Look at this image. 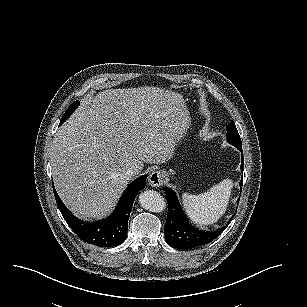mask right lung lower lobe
I'll list each match as a JSON object with an SVG mask.
<instances>
[{
    "instance_id": "1",
    "label": "right lung lower lobe",
    "mask_w": 307,
    "mask_h": 307,
    "mask_svg": "<svg viewBox=\"0 0 307 307\" xmlns=\"http://www.w3.org/2000/svg\"><path fill=\"white\" fill-rule=\"evenodd\" d=\"M147 175L134 180L125 190L114 212L104 219L93 223L76 218L62 203L54 189L58 208L73 231L85 242L100 247H114L124 242L128 229V219L134 199L145 187Z\"/></svg>"
}]
</instances>
